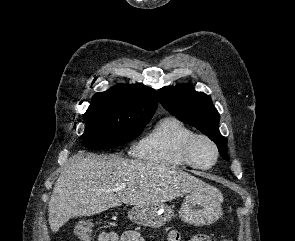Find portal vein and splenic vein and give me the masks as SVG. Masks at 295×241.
I'll return each instance as SVG.
<instances>
[{
    "label": "portal vein and splenic vein",
    "mask_w": 295,
    "mask_h": 241,
    "mask_svg": "<svg viewBox=\"0 0 295 241\" xmlns=\"http://www.w3.org/2000/svg\"><path fill=\"white\" fill-rule=\"evenodd\" d=\"M125 187L126 186L124 184H120L115 188V190L118 191V190L124 189Z\"/></svg>",
    "instance_id": "obj_1"
}]
</instances>
